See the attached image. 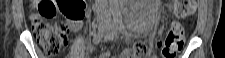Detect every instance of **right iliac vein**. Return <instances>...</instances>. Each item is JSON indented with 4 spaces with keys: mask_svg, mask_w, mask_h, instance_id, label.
I'll return each mask as SVG.
<instances>
[{
    "mask_svg": "<svg viewBox=\"0 0 225 58\" xmlns=\"http://www.w3.org/2000/svg\"><path fill=\"white\" fill-rule=\"evenodd\" d=\"M105 20H99L97 23L98 32L104 28Z\"/></svg>",
    "mask_w": 225,
    "mask_h": 58,
    "instance_id": "1",
    "label": "right iliac vein"
}]
</instances>
